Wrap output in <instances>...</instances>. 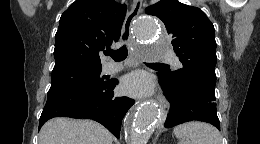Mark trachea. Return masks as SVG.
I'll return each mask as SVG.
<instances>
[{
  "mask_svg": "<svg viewBox=\"0 0 260 144\" xmlns=\"http://www.w3.org/2000/svg\"><path fill=\"white\" fill-rule=\"evenodd\" d=\"M105 55H108L110 57H112L116 62L119 61H123L126 59L127 55H128V50L126 46H122L120 49L118 50H107L105 52ZM158 65H164L162 63H156Z\"/></svg>",
  "mask_w": 260,
  "mask_h": 144,
  "instance_id": "trachea-1",
  "label": "trachea"
}]
</instances>
